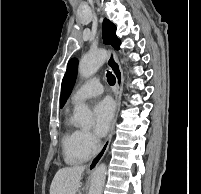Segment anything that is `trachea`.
<instances>
[{
	"mask_svg": "<svg viewBox=\"0 0 201 194\" xmlns=\"http://www.w3.org/2000/svg\"><path fill=\"white\" fill-rule=\"evenodd\" d=\"M107 77V82L109 83V85H114L116 83V78L115 76L112 74V72L108 71L106 74Z\"/></svg>",
	"mask_w": 201,
	"mask_h": 194,
	"instance_id": "1",
	"label": "trachea"
}]
</instances>
